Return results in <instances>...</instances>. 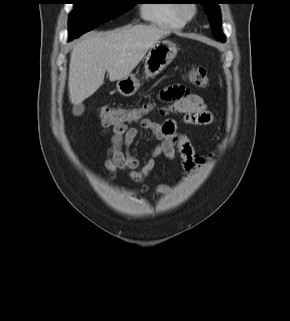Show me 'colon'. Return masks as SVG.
Instances as JSON below:
<instances>
[{
    "label": "colon",
    "instance_id": "1",
    "mask_svg": "<svg viewBox=\"0 0 290 321\" xmlns=\"http://www.w3.org/2000/svg\"><path fill=\"white\" fill-rule=\"evenodd\" d=\"M188 79L192 84L200 88H208L210 86V80L203 67L190 68ZM148 110L149 106L140 108L105 106L99 111V120L102 125L107 127L131 124L139 121Z\"/></svg>",
    "mask_w": 290,
    "mask_h": 321
}]
</instances>
